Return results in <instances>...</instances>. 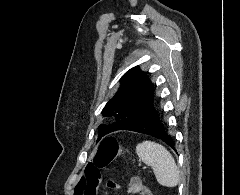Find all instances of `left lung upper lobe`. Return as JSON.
I'll return each instance as SVG.
<instances>
[{
	"label": "left lung upper lobe",
	"instance_id": "obj_1",
	"mask_svg": "<svg viewBox=\"0 0 240 195\" xmlns=\"http://www.w3.org/2000/svg\"><path fill=\"white\" fill-rule=\"evenodd\" d=\"M121 85L114 97L102 110L103 116H114L111 125H100V138L107 133L121 130L153 100L154 85L148 75L134 67L120 79Z\"/></svg>",
	"mask_w": 240,
	"mask_h": 195
}]
</instances>
